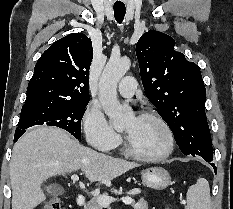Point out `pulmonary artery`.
<instances>
[{
    "mask_svg": "<svg viewBox=\"0 0 233 209\" xmlns=\"http://www.w3.org/2000/svg\"><path fill=\"white\" fill-rule=\"evenodd\" d=\"M137 83L134 77L125 76L118 85V92L123 97H132L136 92Z\"/></svg>",
    "mask_w": 233,
    "mask_h": 209,
    "instance_id": "obj_1",
    "label": "pulmonary artery"
}]
</instances>
